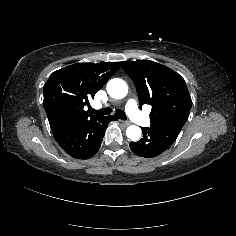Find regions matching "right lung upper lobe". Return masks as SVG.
Masks as SVG:
<instances>
[{"instance_id":"obj_1","label":"right lung upper lobe","mask_w":236,"mask_h":236,"mask_svg":"<svg viewBox=\"0 0 236 236\" xmlns=\"http://www.w3.org/2000/svg\"><path fill=\"white\" fill-rule=\"evenodd\" d=\"M119 67V62L77 63L53 72L43 87V105L52 131L98 117L84 106Z\"/></svg>"}]
</instances>
